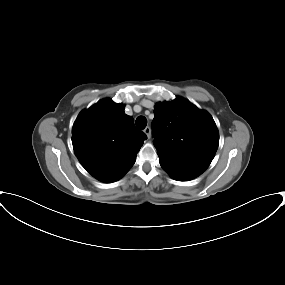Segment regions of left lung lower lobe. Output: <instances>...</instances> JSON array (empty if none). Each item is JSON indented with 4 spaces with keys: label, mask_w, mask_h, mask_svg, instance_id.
Instances as JSON below:
<instances>
[{
    "label": "left lung lower lobe",
    "mask_w": 285,
    "mask_h": 285,
    "mask_svg": "<svg viewBox=\"0 0 285 285\" xmlns=\"http://www.w3.org/2000/svg\"><path fill=\"white\" fill-rule=\"evenodd\" d=\"M159 162L161 167L175 180L178 181H188L191 180L203 172L191 167L181 166L169 162L166 159L159 157Z\"/></svg>",
    "instance_id": "1"
}]
</instances>
